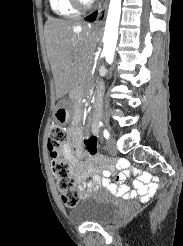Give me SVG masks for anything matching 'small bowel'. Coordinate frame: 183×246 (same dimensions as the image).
I'll list each match as a JSON object with an SVG mask.
<instances>
[{
	"instance_id": "obj_1",
	"label": "small bowel",
	"mask_w": 183,
	"mask_h": 246,
	"mask_svg": "<svg viewBox=\"0 0 183 246\" xmlns=\"http://www.w3.org/2000/svg\"><path fill=\"white\" fill-rule=\"evenodd\" d=\"M94 137L98 134L99 126L96 123L91 127ZM63 156L73 165L75 177L78 181L79 189L84 192L86 197L89 192L99 186H104L106 191H111L114 194L126 198H154L158 194L160 177H149L152 174L151 170H142L135 180L134 186L136 191H132L129 186L123 184L124 179L128 174H140V169H128V162L126 160H117L118 167L124 169L123 173L118 174V183H112L110 177L114 172L113 168L103 171L102 175L94 174L91 176L87 185L83 182L94 166L100 163L99 157H90V154L85 149L84 143L81 140V134L78 130L71 128L68 131V138L63 145Z\"/></svg>"
}]
</instances>
